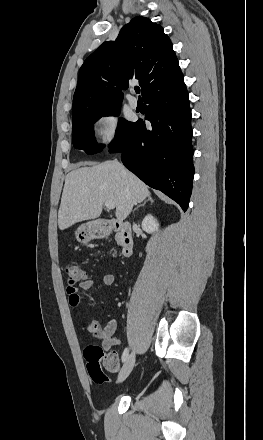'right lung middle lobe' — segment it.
<instances>
[{
  "label": "right lung middle lobe",
  "instance_id": "1",
  "mask_svg": "<svg viewBox=\"0 0 263 440\" xmlns=\"http://www.w3.org/2000/svg\"><path fill=\"white\" fill-rule=\"evenodd\" d=\"M120 112V106L111 108L95 110L83 113L73 118L72 132H73V145L75 148L83 149L88 154H93L101 151L104 146L98 145L94 140L93 124L102 116L118 115ZM132 122L125 119H120L119 126L117 128L116 139L112 144L118 143L126 132L132 126Z\"/></svg>",
  "mask_w": 263,
  "mask_h": 440
}]
</instances>
